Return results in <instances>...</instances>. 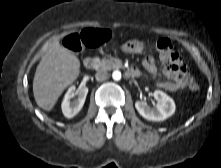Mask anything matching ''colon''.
I'll use <instances>...</instances> for the list:
<instances>
[{
    "mask_svg": "<svg viewBox=\"0 0 221 168\" xmlns=\"http://www.w3.org/2000/svg\"><path fill=\"white\" fill-rule=\"evenodd\" d=\"M110 31L107 29H95L88 28L80 33H73L67 35L63 39V45L71 51H81L85 47H96L99 44L110 38ZM157 50L160 55L168 56L173 52L172 43L167 38H161L156 43ZM191 76V75H190ZM189 88L193 91L199 89L198 84L195 82L194 78L191 76L189 82L187 83Z\"/></svg>",
    "mask_w": 221,
    "mask_h": 168,
    "instance_id": "1",
    "label": "colon"
}]
</instances>
